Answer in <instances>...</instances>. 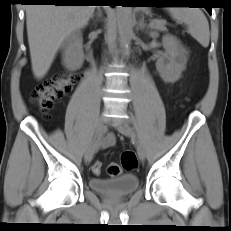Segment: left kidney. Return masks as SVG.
<instances>
[{"label": "left kidney", "mask_w": 231, "mask_h": 231, "mask_svg": "<svg viewBox=\"0 0 231 231\" xmlns=\"http://www.w3.org/2000/svg\"><path fill=\"white\" fill-rule=\"evenodd\" d=\"M162 45L165 53L157 60L156 69L164 82L175 83L186 67L187 51L172 35H165Z\"/></svg>", "instance_id": "left-kidney-1"}]
</instances>
